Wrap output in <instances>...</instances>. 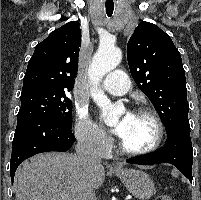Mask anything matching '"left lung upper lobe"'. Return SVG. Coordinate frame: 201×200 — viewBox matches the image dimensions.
<instances>
[{
	"instance_id": "left-lung-upper-lobe-1",
	"label": "left lung upper lobe",
	"mask_w": 201,
	"mask_h": 200,
	"mask_svg": "<svg viewBox=\"0 0 201 200\" xmlns=\"http://www.w3.org/2000/svg\"><path fill=\"white\" fill-rule=\"evenodd\" d=\"M131 75L150 99L166 132L189 126L185 70L169 35L155 24L142 21L127 44Z\"/></svg>"
}]
</instances>
